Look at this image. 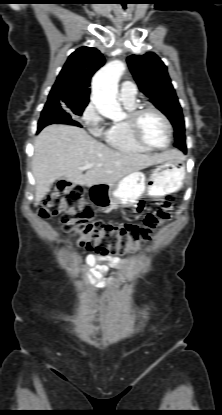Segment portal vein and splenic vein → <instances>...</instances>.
I'll use <instances>...</instances> for the list:
<instances>
[{
  "label": "portal vein and splenic vein",
  "instance_id": "1",
  "mask_svg": "<svg viewBox=\"0 0 222 415\" xmlns=\"http://www.w3.org/2000/svg\"><path fill=\"white\" fill-rule=\"evenodd\" d=\"M93 166H94V164H93V163H89V164H86L85 166L81 167V169H82V170H87V169H89V168H91V167H93Z\"/></svg>",
  "mask_w": 222,
  "mask_h": 415
}]
</instances>
